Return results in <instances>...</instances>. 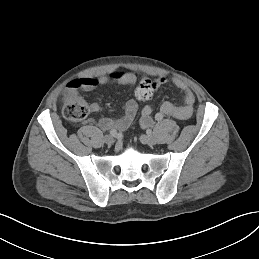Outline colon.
Returning a JSON list of instances; mask_svg holds the SVG:
<instances>
[{
    "label": "colon",
    "instance_id": "5ec220e1",
    "mask_svg": "<svg viewBox=\"0 0 259 259\" xmlns=\"http://www.w3.org/2000/svg\"><path fill=\"white\" fill-rule=\"evenodd\" d=\"M81 85V80L71 81L67 85V90L63 98V113L68 120L73 122L83 121L90 111L86 101L77 92ZM156 90L157 88L151 80H143L136 88L135 96L138 100L145 101L150 99Z\"/></svg>",
    "mask_w": 259,
    "mask_h": 259
}]
</instances>
